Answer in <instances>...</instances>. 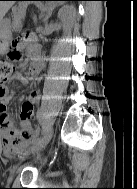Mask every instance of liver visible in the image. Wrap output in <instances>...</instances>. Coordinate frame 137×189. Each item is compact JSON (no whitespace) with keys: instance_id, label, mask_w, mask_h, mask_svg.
Segmentation results:
<instances>
[{"instance_id":"1","label":"liver","mask_w":137,"mask_h":189,"mask_svg":"<svg viewBox=\"0 0 137 189\" xmlns=\"http://www.w3.org/2000/svg\"><path fill=\"white\" fill-rule=\"evenodd\" d=\"M13 3V1H0V21H2L3 17L8 12Z\"/></svg>"}]
</instances>
